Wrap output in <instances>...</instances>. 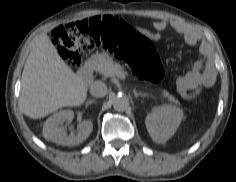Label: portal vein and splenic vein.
Instances as JSON below:
<instances>
[{
    "label": "portal vein and splenic vein",
    "mask_w": 236,
    "mask_h": 182,
    "mask_svg": "<svg viewBox=\"0 0 236 182\" xmlns=\"http://www.w3.org/2000/svg\"><path fill=\"white\" fill-rule=\"evenodd\" d=\"M114 74L118 76L119 78H124V74H122L121 72L116 71Z\"/></svg>",
    "instance_id": "18ae733b"
}]
</instances>
